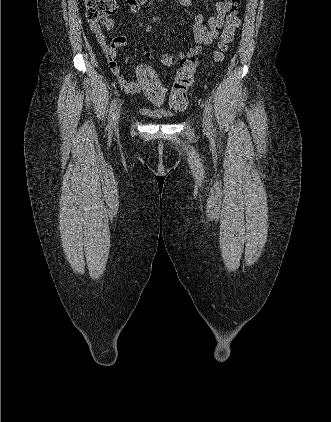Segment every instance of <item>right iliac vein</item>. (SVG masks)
Masks as SVG:
<instances>
[{
    "mask_svg": "<svg viewBox=\"0 0 331 422\" xmlns=\"http://www.w3.org/2000/svg\"><path fill=\"white\" fill-rule=\"evenodd\" d=\"M119 115H120V108L117 109L116 114H115V118H114V121H113V127L114 128H116L118 126Z\"/></svg>",
    "mask_w": 331,
    "mask_h": 422,
    "instance_id": "obj_1",
    "label": "right iliac vein"
}]
</instances>
